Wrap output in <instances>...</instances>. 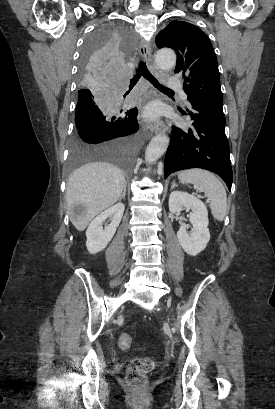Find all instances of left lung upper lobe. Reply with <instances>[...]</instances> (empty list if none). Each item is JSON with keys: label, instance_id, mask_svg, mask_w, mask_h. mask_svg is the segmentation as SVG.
Masks as SVG:
<instances>
[{"label": "left lung upper lobe", "instance_id": "left-lung-upper-lobe-1", "mask_svg": "<svg viewBox=\"0 0 275 409\" xmlns=\"http://www.w3.org/2000/svg\"><path fill=\"white\" fill-rule=\"evenodd\" d=\"M158 48L175 50V73L183 76V89L190 103L222 107L217 58L209 38L193 24L172 21L156 36Z\"/></svg>", "mask_w": 275, "mask_h": 409}]
</instances>
